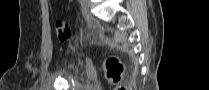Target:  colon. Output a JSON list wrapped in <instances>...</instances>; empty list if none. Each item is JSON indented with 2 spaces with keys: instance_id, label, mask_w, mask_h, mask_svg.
<instances>
[{
  "instance_id": "obj_1",
  "label": "colon",
  "mask_w": 209,
  "mask_h": 90,
  "mask_svg": "<svg viewBox=\"0 0 209 90\" xmlns=\"http://www.w3.org/2000/svg\"><path fill=\"white\" fill-rule=\"evenodd\" d=\"M56 35L58 40L66 41L71 35L70 27L63 20H58L55 25ZM105 72L108 80L115 86V90H128V86L122 83L124 76V65L116 56L106 58Z\"/></svg>"
}]
</instances>
